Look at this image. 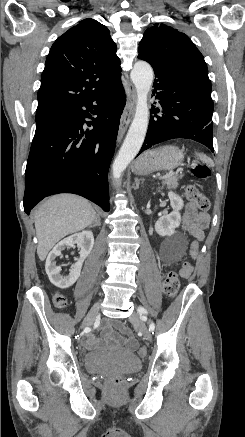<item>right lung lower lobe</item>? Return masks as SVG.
<instances>
[{
  "instance_id": "1",
  "label": "right lung lower lobe",
  "mask_w": 245,
  "mask_h": 437,
  "mask_svg": "<svg viewBox=\"0 0 245 437\" xmlns=\"http://www.w3.org/2000/svg\"><path fill=\"white\" fill-rule=\"evenodd\" d=\"M125 103L120 79L93 97L62 104L36 122L25 171L27 214L46 196L63 192L110 210L107 176ZM89 112L98 117L93 130L84 133L83 124L91 125L85 121Z\"/></svg>"
}]
</instances>
